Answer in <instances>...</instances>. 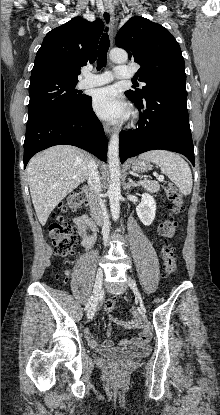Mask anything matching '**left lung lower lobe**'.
<instances>
[{"instance_id": "0a47b994", "label": "left lung lower lobe", "mask_w": 220, "mask_h": 415, "mask_svg": "<svg viewBox=\"0 0 220 415\" xmlns=\"http://www.w3.org/2000/svg\"><path fill=\"white\" fill-rule=\"evenodd\" d=\"M125 94L138 108V128L120 133V159L155 149L185 155L194 166V148L186 106L185 83L155 86L142 100Z\"/></svg>"}]
</instances>
